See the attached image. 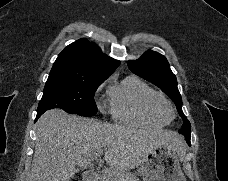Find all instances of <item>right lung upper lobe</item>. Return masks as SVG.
<instances>
[{
  "mask_svg": "<svg viewBox=\"0 0 228 181\" xmlns=\"http://www.w3.org/2000/svg\"><path fill=\"white\" fill-rule=\"evenodd\" d=\"M120 62L106 56L101 49L83 38L68 45L53 64L48 80L65 82L107 79Z\"/></svg>",
  "mask_w": 228,
  "mask_h": 181,
  "instance_id": "cb5924a9",
  "label": "right lung upper lobe"
}]
</instances>
